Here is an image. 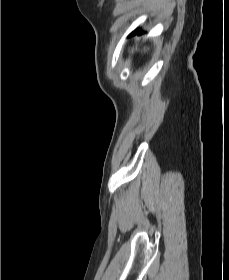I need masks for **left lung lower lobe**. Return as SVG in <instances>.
Masks as SVG:
<instances>
[{
    "mask_svg": "<svg viewBox=\"0 0 229 280\" xmlns=\"http://www.w3.org/2000/svg\"><path fill=\"white\" fill-rule=\"evenodd\" d=\"M140 34L141 33V30L140 29H136L134 32H132L129 36H132L134 34Z\"/></svg>",
    "mask_w": 229,
    "mask_h": 280,
    "instance_id": "0a47b994",
    "label": "left lung lower lobe"
}]
</instances>
